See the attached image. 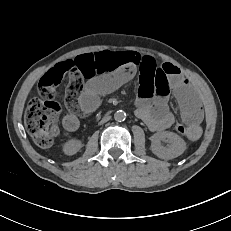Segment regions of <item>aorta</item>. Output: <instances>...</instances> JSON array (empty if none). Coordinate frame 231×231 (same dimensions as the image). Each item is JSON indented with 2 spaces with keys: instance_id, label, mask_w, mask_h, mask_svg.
<instances>
[{
  "instance_id": "obj_1",
  "label": "aorta",
  "mask_w": 231,
  "mask_h": 231,
  "mask_svg": "<svg viewBox=\"0 0 231 231\" xmlns=\"http://www.w3.org/2000/svg\"><path fill=\"white\" fill-rule=\"evenodd\" d=\"M114 119L118 122L124 121L126 119V113L122 110L116 111L114 114Z\"/></svg>"
}]
</instances>
